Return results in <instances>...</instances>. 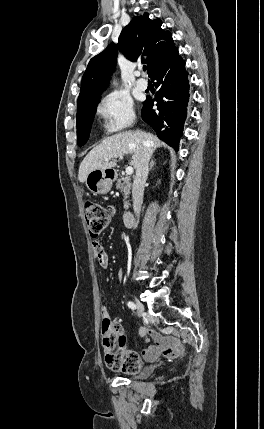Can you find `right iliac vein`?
<instances>
[{"mask_svg":"<svg viewBox=\"0 0 264 429\" xmlns=\"http://www.w3.org/2000/svg\"><path fill=\"white\" fill-rule=\"evenodd\" d=\"M136 303V307H137V313H138V317L142 318L144 315L142 314V312L144 311V308L142 307V303L138 300H135Z\"/></svg>","mask_w":264,"mask_h":429,"instance_id":"obj_1","label":"right iliac vein"}]
</instances>
